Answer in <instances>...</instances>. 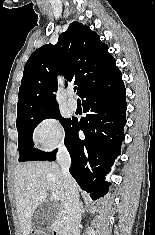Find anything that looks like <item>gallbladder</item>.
I'll list each match as a JSON object with an SVG mask.
<instances>
[{
  "instance_id": "obj_1",
  "label": "gallbladder",
  "mask_w": 155,
  "mask_h": 235,
  "mask_svg": "<svg viewBox=\"0 0 155 235\" xmlns=\"http://www.w3.org/2000/svg\"><path fill=\"white\" fill-rule=\"evenodd\" d=\"M58 214V207L51 203L45 202L38 206L32 218V227L35 231L48 229L54 222Z\"/></svg>"
}]
</instances>
